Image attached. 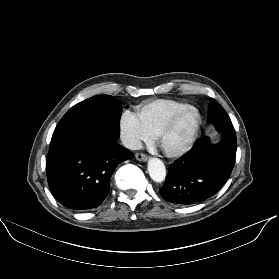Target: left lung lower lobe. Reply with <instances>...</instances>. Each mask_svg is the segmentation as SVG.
I'll use <instances>...</instances> for the list:
<instances>
[{"label":"left lung lower lobe","instance_id":"obj_1","mask_svg":"<svg viewBox=\"0 0 279 279\" xmlns=\"http://www.w3.org/2000/svg\"><path fill=\"white\" fill-rule=\"evenodd\" d=\"M223 138L212 145L200 138L193 148L169 167L162 197L171 203L189 205L218 192L228 180L236 156V134L230 125L224 127Z\"/></svg>","mask_w":279,"mask_h":279}]
</instances>
